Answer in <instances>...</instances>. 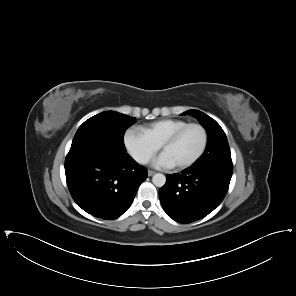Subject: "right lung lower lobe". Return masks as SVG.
<instances>
[{
  "mask_svg": "<svg viewBox=\"0 0 296 296\" xmlns=\"http://www.w3.org/2000/svg\"><path fill=\"white\" fill-rule=\"evenodd\" d=\"M65 173L74 201L87 213L107 220L118 218L129 208L147 178V169L127 152L91 144L70 148Z\"/></svg>",
  "mask_w": 296,
  "mask_h": 296,
  "instance_id": "98d812e1",
  "label": "right lung lower lobe"
}]
</instances>
